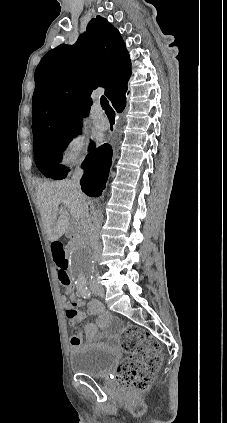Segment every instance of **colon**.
Returning a JSON list of instances; mask_svg holds the SVG:
<instances>
[{
    "label": "colon",
    "mask_w": 227,
    "mask_h": 423,
    "mask_svg": "<svg viewBox=\"0 0 227 423\" xmlns=\"http://www.w3.org/2000/svg\"><path fill=\"white\" fill-rule=\"evenodd\" d=\"M52 252L58 278L66 288L71 282L66 271L67 259L62 243H52ZM121 348L127 353V357L117 369V382L121 387L133 392L146 391L162 361L158 341L144 329L131 325L123 330Z\"/></svg>",
    "instance_id": "colon-1"
}]
</instances>
